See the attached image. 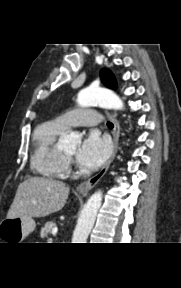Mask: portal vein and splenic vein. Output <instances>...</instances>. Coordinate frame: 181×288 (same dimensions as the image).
<instances>
[{
  "label": "portal vein and splenic vein",
  "mask_w": 181,
  "mask_h": 288,
  "mask_svg": "<svg viewBox=\"0 0 181 288\" xmlns=\"http://www.w3.org/2000/svg\"><path fill=\"white\" fill-rule=\"evenodd\" d=\"M57 231H58L57 227H54L52 230V235L55 236L57 234Z\"/></svg>",
  "instance_id": "portal-vein-and-splenic-vein-1"
}]
</instances>
